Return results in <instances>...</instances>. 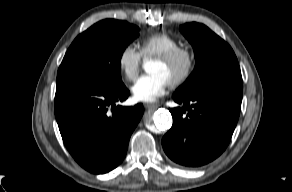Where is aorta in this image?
Instances as JSON below:
<instances>
[{"label": "aorta", "mask_w": 292, "mask_h": 192, "mask_svg": "<svg viewBox=\"0 0 292 192\" xmlns=\"http://www.w3.org/2000/svg\"><path fill=\"white\" fill-rule=\"evenodd\" d=\"M153 122L160 131H165L171 127L172 116L166 109H158L153 115Z\"/></svg>", "instance_id": "1"}]
</instances>
